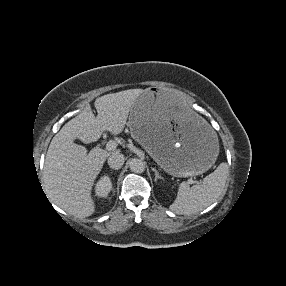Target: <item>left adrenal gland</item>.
Listing matches in <instances>:
<instances>
[{
	"instance_id": "a2214340",
	"label": "left adrenal gland",
	"mask_w": 286,
	"mask_h": 286,
	"mask_svg": "<svg viewBox=\"0 0 286 286\" xmlns=\"http://www.w3.org/2000/svg\"><path fill=\"white\" fill-rule=\"evenodd\" d=\"M152 170L155 172V182L158 180V179H163V177H161L159 175V172L155 169V168H152Z\"/></svg>"
}]
</instances>
